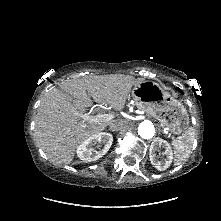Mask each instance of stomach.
Returning <instances> with one entry per match:
<instances>
[{
  "label": "stomach",
  "instance_id": "0dacf381",
  "mask_svg": "<svg viewBox=\"0 0 221 221\" xmlns=\"http://www.w3.org/2000/svg\"><path fill=\"white\" fill-rule=\"evenodd\" d=\"M136 106L161 121L174 134L186 131L189 116L183 104L153 81L144 80L132 89Z\"/></svg>",
  "mask_w": 221,
  "mask_h": 221
}]
</instances>
